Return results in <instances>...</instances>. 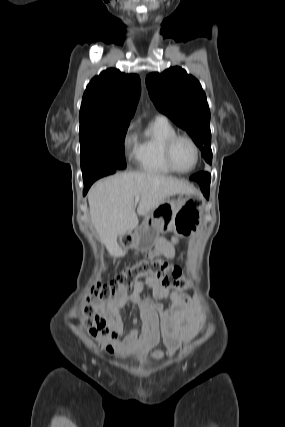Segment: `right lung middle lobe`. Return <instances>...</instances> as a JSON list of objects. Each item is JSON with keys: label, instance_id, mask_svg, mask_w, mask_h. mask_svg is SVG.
Here are the masks:
<instances>
[{"label": "right lung middle lobe", "instance_id": "1", "mask_svg": "<svg viewBox=\"0 0 285 427\" xmlns=\"http://www.w3.org/2000/svg\"><path fill=\"white\" fill-rule=\"evenodd\" d=\"M129 122H80V155L83 179L110 169H124V137Z\"/></svg>", "mask_w": 285, "mask_h": 427}]
</instances>
